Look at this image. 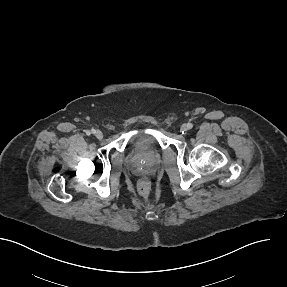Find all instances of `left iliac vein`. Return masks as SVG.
<instances>
[{
    "mask_svg": "<svg viewBox=\"0 0 287 287\" xmlns=\"http://www.w3.org/2000/svg\"><path fill=\"white\" fill-rule=\"evenodd\" d=\"M181 131H182V132L188 131V126H187V124H183V125L181 126Z\"/></svg>",
    "mask_w": 287,
    "mask_h": 287,
    "instance_id": "1",
    "label": "left iliac vein"
}]
</instances>
